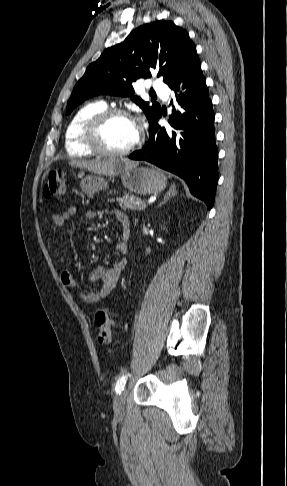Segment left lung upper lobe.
Returning <instances> with one entry per match:
<instances>
[{"mask_svg": "<svg viewBox=\"0 0 287 486\" xmlns=\"http://www.w3.org/2000/svg\"><path fill=\"white\" fill-rule=\"evenodd\" d=\"M197 57L196 46L187 31L172 21L144 24L122 43L105 49L99 59L87 67L74 87L66 113L70 114L95 95L130 96L143 109L151 125L160 115L161 107L134 96L132 84L139 78L151 77V69H157V77H163V81L170 84Z\"/></svg>", "mask_w": 287, "mask_h": 486, "instance_id": "obj_1", "label": "left lung upper lobe"}]
</instances>
